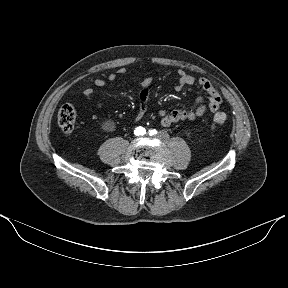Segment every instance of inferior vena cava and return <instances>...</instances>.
Returning <instances> with one entry per match:
<instances>
[{
  "label": "inferior vena cava",
  "instance_id": "obj_1",
  "mask_svg": "<svg viewBox=\"0 0 288 288\" xmlns=\"http://www.w3.org/2000/svg\"><path fill=\"white\" fill-rule=\"evenodd\" d=\"M158 138L162 143H167L169 141V135L165 131H160L158 133Z\"/></svg>",
  "mask_w": 288,
  "mask_h": 288
}]
</instances>
